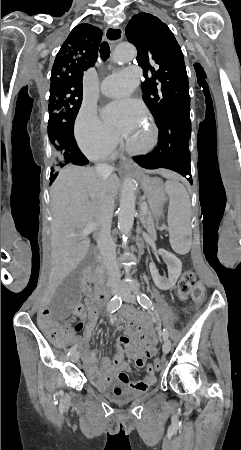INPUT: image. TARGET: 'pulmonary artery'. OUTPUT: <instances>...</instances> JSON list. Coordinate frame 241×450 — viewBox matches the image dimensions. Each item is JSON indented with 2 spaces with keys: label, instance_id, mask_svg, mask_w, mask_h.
Wrapping results in <instances>:
<instances>
[{
  "label": "pulmonary artery",
  "instance_id": "obj_1",
  "mask_svg": "<svg viewBox=\"0 0 241 450\" xmlns=\"http://www.w3.org/2000/svg\"><path fill=\"white\" fill-rule=\"evenodd\" d=\"M123 76V77H122ZM145 70L140 64H126L122 74H108L102 77L101 92L105 102H118L119 98L132 94L134 86L130 78H144Z\"/></svg>",
  "mask_w": 241,
  "mask_h": 450
}]
</instances>
